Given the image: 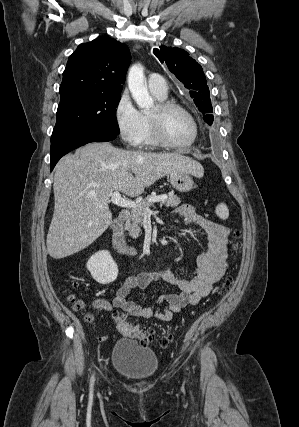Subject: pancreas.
I'll list each match as a JSON object with an SVG mask.
<instances>
[{"label": "pancreas", "instance_id": "1", "mask_svg": "<svg viewBox=\"0 0 299 427\" xmlns=\"http://www.w3.org/2000/svg\"><path fill=\"white\" fill-rule=\"evenodd\" d=\"M153 197L155 196H148L139 203L137 208L132 209L130 221L125 225V230L131 237L137 238L139 236L141 231L140 226L143 224L145 209L153 205V202L150 201V199ZM180 203V198L174 195L173 192L169 193L165 200L160 201V204L166 207H176Z\"/></svg>", "mask_w": 299, "mask_h": 427}]
</instances>
